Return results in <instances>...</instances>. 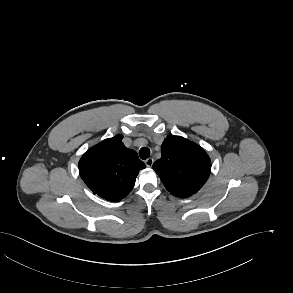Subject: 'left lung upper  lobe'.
<instances>
[{
	"label": "left lung upper lobe",
	"mask_w": 293,
	"mask_h": 293,
	"mask_svg": "<svg viewBox=\"0 0 293 293\" xmlns=\"http://www.w3.org/2000/svg\"><path fill=\"white\" fill-rule=\"evenodd\" d=\"M161 153L153 169L173 195L189 197L207 181L211 161L204 149L196 143L181 136L169 135L162 143Z\"/></svg>",
	"instance_id": "1"
}]
</instances>
